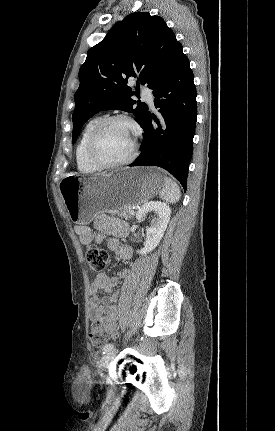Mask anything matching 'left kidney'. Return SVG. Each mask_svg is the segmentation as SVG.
Masks as SVG:
<instances>
[{
  "mask_svg": "<svg viewBox=\"0 0 275 431\" xmlns=\"http://www.w3.org/2000/svg\"><path fill=\"white\" fill-rule=\"evenodd\" d=\"M151 212L157 216L152 220L151 226L146 229L144 248L137 251L140 254H147L157 247L170 220L171 209L169 205L159 201H151L142 205L136 214V218L137 220H142Z\"/></svg>",
  "mask_w": 275,
  "mask_h": 431,
  "instance_id": "obj_1",
  "label": "left kidney"
}]
</instances>
